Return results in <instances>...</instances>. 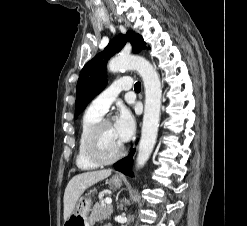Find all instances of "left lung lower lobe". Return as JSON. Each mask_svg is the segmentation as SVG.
Returning a JSON list of instances; mask_svg holds the SVG:
<instances>
[{
  "instance_id": "obj_1",
  "label": "left lung lower lobe",
  "mask_w": 247,
  "mask_h": 226,
  "mask_svg": "<svg viewBox=\"0 0 247 226\" xmlns=\"http://www.w3.org/2000/svg\"><path fill=\"white\" fill-rule=\"evenodd\" d=\"M133 151L132 150L129 154V156L121 159L119 162H117L116 166H115V169L126 174V175H129V176H132V172H131V167H132V164H133V158L131 157L132 154H133Z\"/></svg>"
}]
</instances>
